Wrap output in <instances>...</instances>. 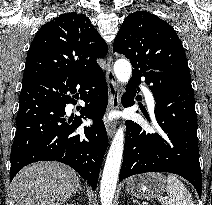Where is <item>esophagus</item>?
I'll return each instance as SVG.
<instances>
[{
  "instance_id": "obj_1",
  "label": "esophagus",
  "mask_w": 212,
  "mask_h": 205,
  "mask_svg": "<svg viewBox=\"0 0 212 205\" xmlns=\"http://www.w3.org/2000/svg\"><path fill=\"white\" fill-rule=\"evenodd\" d=\"M106 78L109 91V108L112 110L114 109L116 110L119 108L120 105V92L118 89L116 77L113 72V59L111 54H109L107 57ZM115 129H116L115 121L107 125V134L109 137H112L114 135Z\"/></svg>"
}]
</instances>
